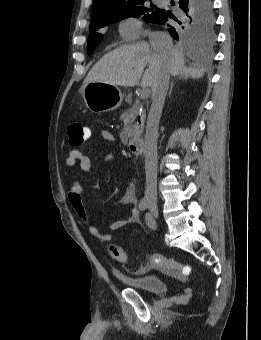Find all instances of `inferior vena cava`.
Wrapping results in <instances>:
<instances>
[{
  "instance_id": "602c4592",
  "label": "inferior vena cava",
  "mask_w": 261,
  "mask_h": 340,
  "mask_svg": "<svg viewBox=\"0 0 261 340\" xmlns=\"http://www.w3.org/2000/svg\"><path fill=\"white\" fill-rule=\"evenodd\" d=\"M151 48L160 56L166 57L172 50V39L165 32H152L149 34ZM170 74L163 73L152 89V105L148 114L145 135V170L146 189L145 197L157 198V138L158 125L161 117L165 97L169 87Z\"/></svg>"
}]
</instances>
